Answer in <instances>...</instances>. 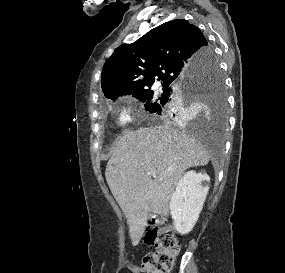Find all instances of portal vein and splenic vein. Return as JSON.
Returning a JSON list of instances; mask_svg holds the SVG:
<instances>
[{
    "instance_id": "1",
    "label": "portal vein and splenic vein",
    "mask_w": 285,
    "mask_h": 273,
    "mask_svg": "<svg viewBox=\"0 0 285 273\" xmlns=\"http://www.w3.org/2000/svg\"><path fill=\"white\" fill-rule=\"evenodd\" d=\"M149 174H151L152 176H155V175H156V173H155V172H151V173H149Z\"/></svg>"
}]
</instances>
